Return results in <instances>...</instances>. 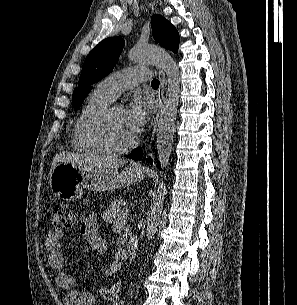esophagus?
<instances>
[{"mask_svg": "<svg viewBox=\"0 0 297 305\" xmlns=\"http://www.w3.org/2000/svg\"><path fill=\"white\" fill-rule=\"evenodd\" d=\"M158 75H159V79H160V87L158 90V102H159V107H161L163 99H164V94H165L166 78H165V72L162 69L159 70ZM158 117H159V112L157 113L156 118H155L154 122L152 123L151 138H150V144H148V150L150 149V145L154 139V134H155V130H156V124L158 121Z\"/></svg>", "mask_w": 297, "mask_h": 305, "instance_id": "34e87169", "label": "esophagus"}]
</instances>
